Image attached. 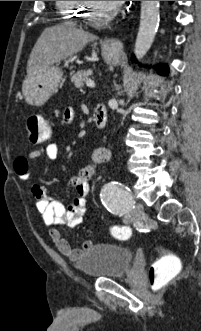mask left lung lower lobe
<instances>
[{
	"mask_svg": "<svg viewBox=\"0 0 201 331\" xmlns=\"http://www.w3.org/2000/svg\"><path fill=\"white\" fill-rule=\"evenodd\" d=\"M133 61H135L134 57H133ZM156 69H157L158 73L161 75H166L168 73V67L165 65L158 66Z\"/></svg>",
	"mask_w": 201,
	"mask_h": 331,
	"instance_id": "obj_1",
	"label": "left lung lower lobe"
}]
</instances>
